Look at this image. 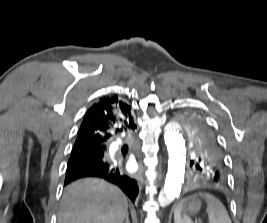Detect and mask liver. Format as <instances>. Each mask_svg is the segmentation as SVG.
Returning a JSON list of instances; mask_svg holds the SVG:
<instances>
[{
  "mask_svg": "<svg viewBox=\"0 0 267 223\" xmlns=\"http://www.w3.org/2000/svg\"><path fill=\"white\" fill-rule=\"evenodd\" d=\"M128 201L116 186L83 179L65 188L58 223H123Z\"/></svg>",
  "mask_w": 267,
  "mask_h": 223,
  "instance_id": "obj_1",
  "label": "liver"
}]
</instances>
